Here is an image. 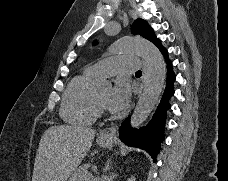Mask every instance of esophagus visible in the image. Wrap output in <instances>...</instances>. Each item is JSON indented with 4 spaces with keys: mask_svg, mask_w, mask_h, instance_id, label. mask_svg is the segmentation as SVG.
<instances>
[{
    "mask_svg": "<svg viewBox=\"0 0 228 181\" xmlns=\"http://www.w3.org/2000/svg\"><path fill=\"white\" fill-rule=\"evenodd\" d=\"M148 67L145 62H143V75H142V88H145L147 77H148ZM118 133L117 126H110L109 128H105V130L101 131L100 136L104 137H113Z\"/></svg>",
    "mask_w": 228,
    "mask_h": 181,
    "instance_id": "esophagus-1",
    "label": "esophagus"
}]
</instances>
